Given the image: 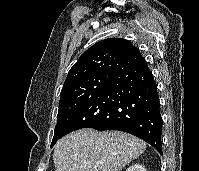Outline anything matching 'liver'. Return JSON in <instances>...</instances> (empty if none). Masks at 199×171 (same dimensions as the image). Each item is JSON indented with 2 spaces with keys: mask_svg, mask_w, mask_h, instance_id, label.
Instances as JSON below:
<instances>
[{
  "mask_svg": "<svg viewBox=\"0 0 199 171\" xmlns=\"http://www.w3.org/2000/svg\"><path fill=\"white\" fill-rule=\"evenodd\" d=\"M146 143L120 131L81 129L60 139L53 153L56 171H121Z\"/></svg>",
  "mask_w": 199,
  "mask_h": 171,
  "instance_id": "1",
  "label": "liver"
}]
</instances>
